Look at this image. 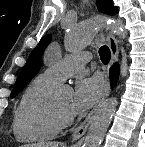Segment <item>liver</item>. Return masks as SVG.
<instances>
[{"mask_svg":"<svg viewBox=\"0 0 145 147\" xmlns=\"http://www.w3.org/2000/svg\"><path fill=\"white\" fill-rule=\"evenodd\" d=\"M22 147H59L58 142H40L37 144L23 145Z\"/></svg>","mask_w":145,"mask_h":147,"instance_id":"liver-1","label":"liver"}]
</instances>
